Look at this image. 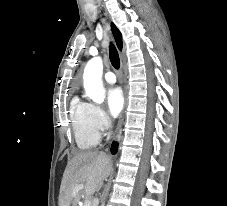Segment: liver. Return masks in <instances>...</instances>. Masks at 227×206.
Here are the masks:
<instances>
[{
  "mask_svg": "<svg viewBox=\"0 0 227 206\" xmlns=\"http://www.w3.org/2000/svg\"><path fill=\"white\" fill-rule=\"evenodd\" d=\"M111 158L103 152L88 151L76 154L63 174L59 206H77L82 195H93L109 175ZM83 186V189H77Z\"/></svg>",
  "mask_w": 227,
  "mask_h": 206,
  "instance_id": "liver-1",
  "label": "liver"
}]
</instances>
